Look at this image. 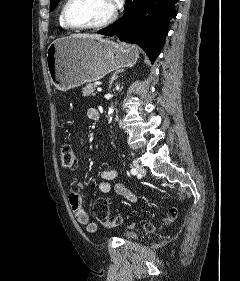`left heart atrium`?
Here are the masks:
<instances>
[{"instance_id": "left-heart-atrium-1", "label": "left heart atrium", "mask_w": 240, "mask_h": 281, "mask_svg": "<svg viewBox=\"0 0 240 281\" xmlns=\"http://www.w3.org/2000/svg\"><path fill=\"white\" fill-rule=\"evenodd\" d=\"M114 8L118 7L121 4L122 0H111Z\"/></svg>"}]
</instances>
